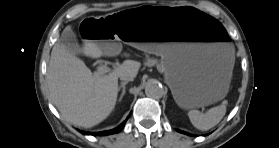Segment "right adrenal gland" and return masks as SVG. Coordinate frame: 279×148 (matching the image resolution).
<instances>
[{
    "mask_svg": "<svg viewBox=\"0 0 279 148\" xmlns=\"http://www.w3.org/2000/svg\"><path fill=\"white\" fill-rule=\"evenodd\" d=\"M127 83H128L127 81L122 82L121 85L118 88V91H120L122 89V93H121V95L119 97V101H122V99H123V97L125 95V92H126L125 86H126Z\"/></svg>",
    "mask_w": 279,
    "mask_h": 148,
    "instance_id": "2a0ac1e0",
    "label": "right adrenal gland"
}]
</instances>
